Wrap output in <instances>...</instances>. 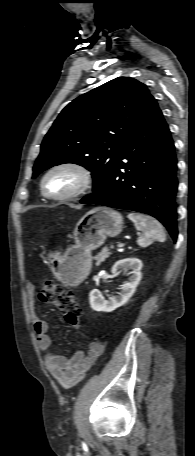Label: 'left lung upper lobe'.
I'll return each mask as SVG.
<instances>
[{
  "mask_svg": "<svg viewBox=\"0 0 195 456\" xmlns=\"http://www.w3.org/2000/svg\"><path fill=\"white\" fill-rule=\"evenodd\" d=\"M155 101L147 87L118 77L69 103L46 134L33 178L63 163L91 171L93 192L117 161L126 137Z\"/></svg>",
  "mask_w": 195,
  "mask_h": 456,
  "instance_id": "1",
  "label": "left lung upper lobe"
}]
</instances>
